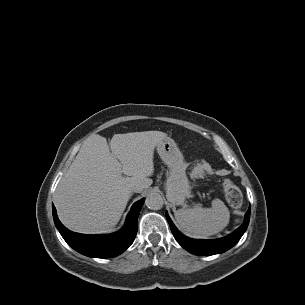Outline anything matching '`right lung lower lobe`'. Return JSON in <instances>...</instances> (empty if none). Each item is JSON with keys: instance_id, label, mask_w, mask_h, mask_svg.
Instances as JSON below:
<instances>
[{"instance_id": "right-lung-lower-lobe-1", "label": "right lung lower lobe", "mask_w": 305, "mask_h": 305, "mask_svg": "<svg viewBox=\"0 0 305 305\" xmlns=\"http://www.w3.org/2000/svg\"><path fill=\"white\" fill-rule=\"evenodd\" d=\"M144 200L143 198L132 206L123 229L110 235H85L69 231L58 219L54 205L53 219L64 240L74 250L89 257L111 258L120 255L133 243L138 229V215Z\"/></svg>"}]
</instances>
